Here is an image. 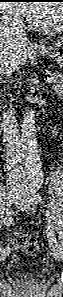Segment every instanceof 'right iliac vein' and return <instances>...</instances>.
Returning <instances> with one entry per match:
<instances>
[{
  "label": "right iliac vein",
  "mask_w": 63,
  "mask_h": 297,
  "mask_svg": "<svg viewBox=\"0 0 63 297\" xmlns=\"http://www.w3.org/2000/svg\"><path fill=\"white\" fill-rule=\"evenodd\" d=\"M14 199V196L11 198V200H13ZM9 254V252L8 251H1V253H0V260H5L6 259V256Z\"/></svg>",
  "instance_id": "1"
}]
</instances>
